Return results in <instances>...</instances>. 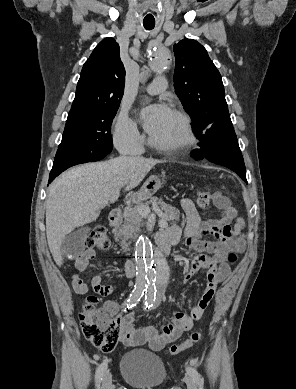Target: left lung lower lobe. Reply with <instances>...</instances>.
<instances>
[{
	"mask_svg": "<svg viewBox=\"0 0 296 389\" xmlns=\"http://www.w3.org/2000/svg\"><path fill=\"white\" fill-rule=\"evenodd\" d=\"M199 148L191 152L195 160H208L236 172L245 182L246 169L230 115L217 119L200 136Z\"/></svg>",
	"mask_w": 296,
	"mask_h": 389,
	"instance_id": "0a47b994",
	"label": "left lung lower lobe"
}]
</instances>
